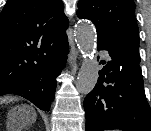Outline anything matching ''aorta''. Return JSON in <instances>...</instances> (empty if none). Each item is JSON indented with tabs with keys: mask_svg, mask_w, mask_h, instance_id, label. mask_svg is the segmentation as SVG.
I'll list each match as a JSON object with an SVG mask.
<instances>
[{
	"mask_svg": "<svg viewBox=\"0 0 151 131\" xmlns=\"http://www.w3.org/2000/svg\"><path fill=\"white\" fill-rule=\"evenodd\" d=\"M97 35L94 26L87 20L76 26L77 46L84 58L78 73L76 88L81 94L90 93L99 77V64L95 57Z\"/></svg>",
	"mask_w": 151,
	"mask_h": 131,
	"instance_id": "aorta-1",
	"label": "aorta"
}]
</instances>
